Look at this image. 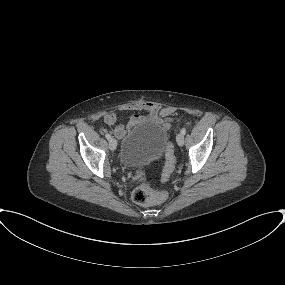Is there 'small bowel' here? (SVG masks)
<instances>
[{
	"label": "small bowel",
	"mask_w": 285,
	"mask_h": 285,
	"mask_svg": "<svg viewBox=\"0 0 285 285\" xmlns=\"http://www.w3.org/2000/svg\"><path fill=\"white\" fill-rule=\"evenodd\" d=\"M120 111H144L145 114H133L126 123L118 122V115L115 111L104 115L103 121L108 126H114L113 132L116 138L120 139L126 135L134 126L142 122H152L166 129L170 127L171 120L159 115V107L152 102H135L122 105Z\"/></svg>",
	"instance_id": "1"
}]
</instances>
